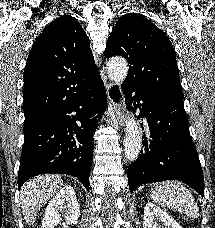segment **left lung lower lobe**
Wrapping results in <instances>:
<instances>
[{"label": "left lung lower lobe", "mask_w": 215, "mask_h": 228, "mask_svg": "<svg viewBox=\"0 0 215 228\" xmlns=\"http://www.w3.org/2000/svg\"><path fill=\"white\" fill-rule=\"evenodd\" d=\"M122 91L128 105L133 101L140 103L138 118H146L151 137H143L144 149L128 167L130 192L145 183L175 179L204 196L203 172L189 134L183 97L143 93L124 85Z\"/></svg>", "instance_id": "left-lung-lower-lobe-1"}]
</instances>
